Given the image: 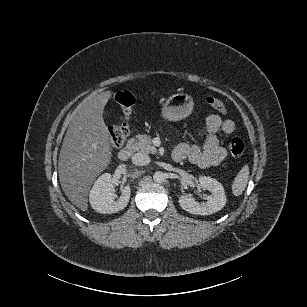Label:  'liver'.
Wrapping results in <instances>:
<instances>
[{"mask_svg": "<svg viewBox=\"0 0 307 307\" xmlns=\"http://www.w3.org/2000/svg\"><path fill=\"white\" fill-rule=\"evenodd\" d=\"M111 92L84 99L67 118L68 130L59 154L58 173L68 199L81 211L88 209V193L96 177L111 162V145L102 117Z\"/></svg>", "mask_w": 307, "mask_h": 307, "instance_id": "liver-1", "label": "liver"}]
</instances>
